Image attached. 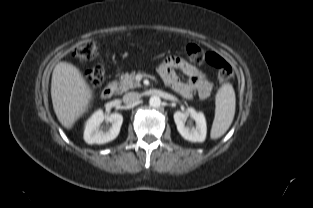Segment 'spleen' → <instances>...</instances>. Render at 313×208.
<instances>
[{"instance_id":"1","label":"spleen","mask_w":313,"mask_h":208,"mask_svg":"<svg viewBox=\"0 0 313 208\" xmlns=\"http://www.w3.org/2000/svg\"><path fill=\"white\" fill-rule=\"evenodd\" d=\"M215 118L210 136L218 139L229 129L235 114V92L230 84H224L216 94Z\"/></svg>"}]
</instances>
